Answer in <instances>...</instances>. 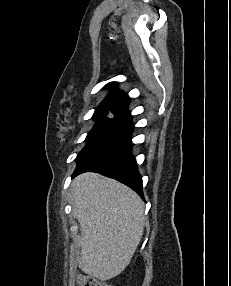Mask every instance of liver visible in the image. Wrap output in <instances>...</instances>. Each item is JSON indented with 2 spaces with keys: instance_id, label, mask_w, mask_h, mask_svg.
Here are the masks:
<instances>
[{
  "instance_id": "obj_1",
  "label": "liver",
  "mask_w": 231,
  "mask_h": 286,
  "mask_svg": "<svg viewBox=\"0 0 231 286\" xmlns=\"http://www.w3.org/2000/svg\"><path fill=\"white\" fill-rule=\"evenodd\" d=\"M72 212L80 224V269L100 281L129 264L144 232V203L127 186L96 173L72 182Z\"/></svg>"
}]
</instances>
